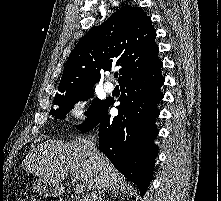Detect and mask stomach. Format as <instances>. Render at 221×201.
I'll list each match as a JSON object with an SVG mask.
<instances>
[{
	"label": "stomach",
	"mask_w": 221,
	"mask_h": 201,
	"mask_svg": "<svg viewBox=\"0 0 221 201\" xmlns=\"http://www.w3.org/2000/svg\"><path fill=\"white\" fill-rule=\"evenodd\" d=\"M33 189L40 194L54 195L57 192V189L43 178H39L34 182Z\"/></svg>",
	"instance_id": "1"
}]
</instances>
